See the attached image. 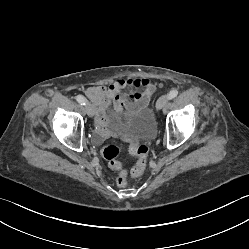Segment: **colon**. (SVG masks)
Listing matches in <instances>:
<instances>
[{
    "label": "colon",
    "mask_w": 249,
    "mask_h": 249,
    "mask_svg": "<svg viewBox=\"0 0 249 249\" xmlns=\"http://www.w3.org/2000/svg\"><path fill=\"white\" fill-rule=\"evenodd\" d=\"M130 151L138 158L136 165L131 169V175L133 177H138L146 168L149 149L145 143L138 142L131 145ZM120 152L121 148L119 145L110 144L101 149V156L109 162V166L112 170L119 172L117 177L118 186L125 187L128 185V178L125 172L122 171L121 164L116 161Z\"/></svg>",
    "instance_id": "5ec220e1"
}]
</instances>
